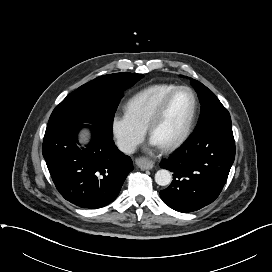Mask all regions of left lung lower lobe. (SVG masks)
<instances>
[{
    "label": "left lung lower lobe",
    "instance_id": "left-lung-lower-lobe-1",
    "mask_svg": "<svg viewBox=\"0 0 272 272\" xmlns=\"http://www.w3.org/2000/svg\"><path fill=\"white\" fill-rule=\"evenodd\" d=\"M235 159L231 120L194 130L186 142L160 163L173 172L161 199L176 211L187 213L212 203L222 191Z\"/></svg>",
    "mask_w": 272,
    "mask_h": 272
}]
</instances>
